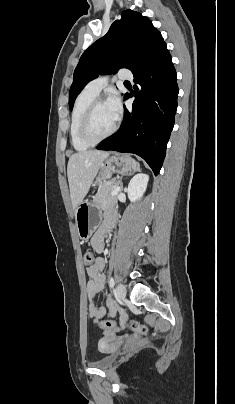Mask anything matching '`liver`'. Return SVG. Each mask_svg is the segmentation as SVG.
<instances>
[{"instance_id":"obj_1","label":"liver","mask_w":235,"mask_h":404,"mask_svg":"<svg viewBox=\"0 0 235 404\" xmlns=\"http://www.w3.org/2000/svg\"><path fill=\"white\" fill-rule=\"evenodd\" d=\"M108 156L109 153L105 151L89 150L77 152L69 158L67 177L74 210L83 202L101 165Z\"/></svg>"}]
</instances>
